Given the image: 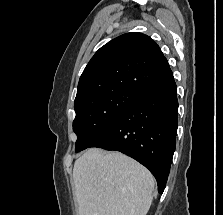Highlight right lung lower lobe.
<instances>
[{"label":"right lung lower lobe","mask_w":223,"mask_h":215,"mask_svg":"<svg viewBox=\"0 0 223 215\" xmlns=\"http://www.w3.org/2000/svg\"><path fill=\"white\" fill-rule=\"evenodd\" d=\"M177 87L174 78L141 94L91 147L120 151L144 165L163 193L176 146Z\"/></svg>","instance_id":"obj_1"}]
</instances>
